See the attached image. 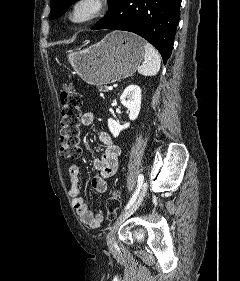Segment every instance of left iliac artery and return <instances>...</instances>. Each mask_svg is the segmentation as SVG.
<instances>
[{"label":"left iliac artery","mask_w":240,"mask_h":281,"mask_svg":"<svg viewBox=\"0 0 240 281\" xmlns=\"http://www.w3.org/2000/svg\"><path fill=\"white\" fill-rule=\"evenodd\" d=\"M143 180H144V176L142 174H139L138 176V184H137V188H136V191L134 192L132 198L130 199V201L128 202L127 206L125 207V209H128L136 200L138 194H139V191H140V188L143 184Z\"/></svg>","instance_id":"left-iliac-artery-1"}]
</instances>
